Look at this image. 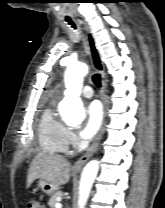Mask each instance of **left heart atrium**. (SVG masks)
I'll use <instances>...</instances> for the list:
<instances>
[{
  "mask_svg": "<svg viewBox=\"0 0 165 208\" xmlns=\"http://www.w3.org/2000/svg\"><path fill=\"white\" fill-rule=\"evenodd\" d=\"M85 112L86 119L79 130V134L84 140H91L97 134L101 126L103 112L100 103L97 101L89 103Z\"/></svg>",
  "mask_w": 165,
  "mask_h": 208,
  "instance_id": "39dd6f15",
  "label": "left heart atrium"
}]
</instances>
